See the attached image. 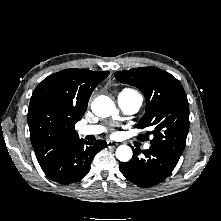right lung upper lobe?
<instances>
[{
    "instance_id": "cb5924a9",
    "label": "right lung upper lobe",
    "mask_w": 221,
    "mask_h": 221,
    "mask_svg": "<svg viewBox=\"0 0 221 221\" xmlns=\"http://www.w3.org/2000/svg\"><path fill=\"white\" fill-rule=\"evenodd\" d=\"M109 72L66 69L45 78L34 90L28 109L30 138L40 163L79 140L82 118L93 89Z\"/></svg>"
}]
</instances>
